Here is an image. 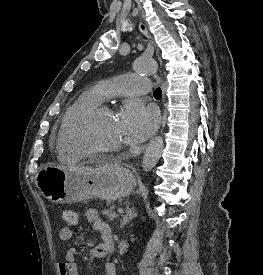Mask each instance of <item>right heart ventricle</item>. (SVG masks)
Masks as SVG:
<instances>
[{"label": "right heart ventricle", "mask_w": 263, "mask_h": 275, "mask_svg": "<svg viewBox=\"0 0 263 275\" xmlns=\"http://www.w3.org/2000/svg\"><path fill=\"white\" fill-rule=\"evenodd\" d=\"M103 100L98 88H93L82 93L79 98L69 107L63 118L59 135V153L63 157L78 159L81 154L72 147L66 138L67 133L75 120L86 110L100 104Z\"/></svg>", "instance_id": "obj_1"}]
</instances>
